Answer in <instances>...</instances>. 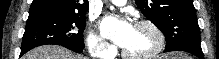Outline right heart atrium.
Returning a JSON list of instances; mask_svg holds the SVG:
<instances>
[{
    "label": "right heart atrium",
    "mask_w": 219,
    "mask_h": 59,
    "mask_svg": "<svg viewBox=\"0 0 219 59\" xmlns=\"http://www.w3.org/2000/svg\"><path fill=\"white\" fill-rule=\"evenodd\" d=\"M86 45L91 56L106 59L112 55V46L98 33L90 31Z\"/></svg>",
    "instance_id": "obj_1"
}]
</instances>
